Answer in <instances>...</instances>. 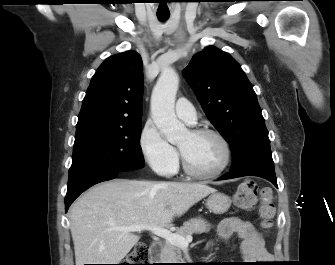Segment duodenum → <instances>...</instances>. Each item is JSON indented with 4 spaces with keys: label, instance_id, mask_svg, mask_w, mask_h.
Instances as JSON below:
<instances>
[{
    "label": "duodenum",
    "instance_id": "duodenum-1",
    "mask_svg": "<svg viewBox=\"0 0 335 265\" xmlns=\"http://www.w3.org/2000/svg\"><path fill=\"white\" fill-rule=\"evenodd\" d=\"M161 251L160 242H153L150 246L151 262H157Z\"/></svg>",
    "mask_w": 335,
    "mask_h": 265
}]
</instances>
